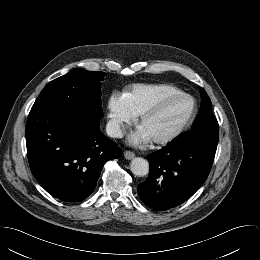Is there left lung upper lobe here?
<instances>
[{"instance_id":"left-lung-upper-lobe-1","label":"left lung upper lobe","mask_w":260,"mask_h":260,"mask_svg":"<svg viewBox=\"0 0 260 260\" xmlns=\"http://www.w3.org/2000/svg\"><path fill=\"white\" fill-rule=\"evenodd\" d=\"M202 103L199 115L195 119L193 130L177 139L180 143H201L217 146L219 139V126L215 119L212 109L211 100L206 91L200 88Z\"/></svg>"}]
</instances>
